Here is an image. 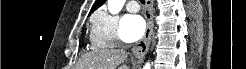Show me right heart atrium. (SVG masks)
<instances>
[{
    "mask_svg": "<svg viewBox=\"0 0 246 69\" xmlns=\"http://www.w3.org/2000/svg\"><path fill=\"white\" fill-rule=\"evenodd\" d=\"M118 17L106 8L98 9L91 18L90 41L94 48L113 47L119 43Z\"/></svg>",
    "mask_w": 246,
    "mask_h": 69,
    "instance_id": "d8ad5b80",
    "label": "right heart atrium"
}]
</instances>
